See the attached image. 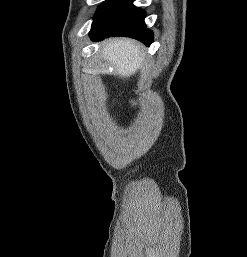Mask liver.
<instances>
[{"mask_svg":"<svg viewBox=\"0 0 247 257\" xmlns=\"http://www.w3.org/2000/svg\"><path fill=\"white\" fill-rule=\"evenodd\" d=\"M102 56L115 66L114 74L128 78L135 74L144 61L139 43L128 38H114L104 42Z\"/></svg>","mask_w":247,"mask_h":257,"instance_id":"obj_1","label":"liver"}]
</instances>
